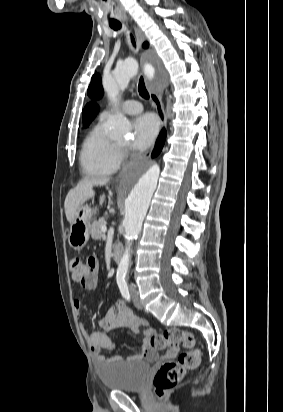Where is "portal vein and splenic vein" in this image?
I'll return each mask as SVG.
<instances>
[{
    "label": "portal vein and splenic vein",
    "mask_w": 283,
    "mask_h": 412,
    "mask_svg": "<svg viewBox=\"0 0 283 412\" xmlns=\"http://www.w3.org/2000/svg\"><path fill=\"white\" fill-rule=\"evenodd\" d=\"M106 231H107V226L105 224V225L101 226V232L105 233Z\"/></svg>",
    "instance_id": "1"
}]
</instances>
